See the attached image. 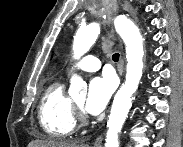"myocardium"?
Segmentation results:
<instances>
[{"instance_id":"f54148a6","label":"myocardium","mask_w":183,"mask_h":147,"mask_svg":"<svg viewBox=\"0 0 183 147\" xmlns=\"http://www.w3.org/2000/svg\"><path fill=\"white\" fill-rule=\"evenodd\" d=\"M74 104V108H75V115H78L80 120L82 122H85L86 117L85 114L83 112L82 106L78 105L77 103H73Z\"/></svg>"}]
</instances>
